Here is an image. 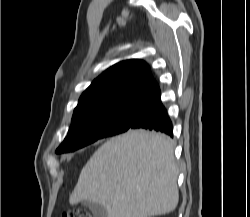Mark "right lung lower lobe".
I'll list each match as a JSON object with an SVG mask.
<instances>
[{"mask_svg":"<svg viewBox=\"0 0 250 217\" xmlns=\"http://www.w3.org/2000/svg\"><path fill=\"white\" fill-rule=\"evenodd\" d=\"M160 91L144 100L130 129H147L163 132L173 137L172 122L163 106Z\"/></svg>","mask_w":250,"mask_h":217,"instance_id":"right-lung-lower-lobe-1","label":"right lung lower lobe"}]
</instances>
